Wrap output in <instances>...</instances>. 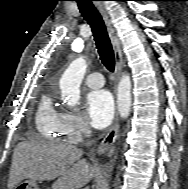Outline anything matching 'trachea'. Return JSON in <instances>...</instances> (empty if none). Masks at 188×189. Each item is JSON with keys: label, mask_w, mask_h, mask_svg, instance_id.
<instances>
[{"label": "trachea", "mask_w": 188, "mask_h": 189, "mask_svg": "<svg viewBox=\"0 0 188 189\" xmlns=\"http://www.w3.org/2000/svg\"><path fill=\"white\" fill-rule=\"evenodd\" d=\"M76 1L82 16L92 29L96 47L103 65L110 72H113L115 68L114 51L100 13L93 5L92 0Z\"/></svg>", "instance_id": "obj_1"}]
</instances>
